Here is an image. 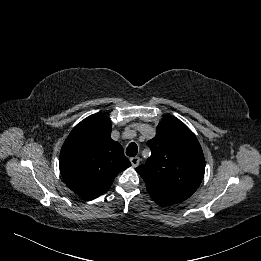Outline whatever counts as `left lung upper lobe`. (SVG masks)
Wrapping results in <instances>:
<instances>
[{"label":"left lung upper lobe","mask_w":261,"mask_h":261,"mask_svg":"<svg viewBox=\"0 0 261 261\" xmlns=\"http://www.w3.org/2000/svg\"><path fill=\"white\" fill-rule=\"evenodd\" d=\"M147 145L152 154L136 171L148 193L189 198L205 172V159L196 136L179 119L168 117L159 123L156 136Z\"/></svg>","instance_id":"1"}]
</instances>
